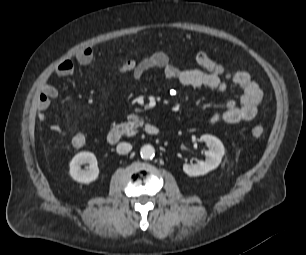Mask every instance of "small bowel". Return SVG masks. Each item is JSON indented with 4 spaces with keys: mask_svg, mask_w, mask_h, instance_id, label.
Segmentation results:
<instances>
[{
    "mask_svg": "<svg viewBox=\"0 0 306 255\" xmlns=\"http://www.w3.org/2000/svg\"><path fill=\"white\" fill-rule=\"evenodd\" d=\"M93 59L90 48H83L75 55V60L80 64H88ZM199 68H184L171 63L168 54L164 51H154L139 61L127 60V72H130L135 80H141L152 70H162L164 77L170 81L187 87L218 90L225 93L228 90L226 80L238 86L242 93L238 100L228 99L222 111L215 112L211 118V124H238L248 122L255 118L258 106L262 101V91L259 85L246 71H228L219 62L212 59L205 51H199L195 56ZM74 68L71 59L63 61L55 70L56 76L69 75ZM58 96V89L50 80H45L40 86L36 106L39 111V119H45V112L51 101ZM52 132L62 134V128L53 124L50 126Z\"/></svg>",
    "mask_w": 306,
    "mask_h": 255,
    "instance_id": "c3829d8e",
    "label": "small bowel"
}]
</instances>
